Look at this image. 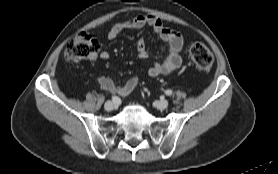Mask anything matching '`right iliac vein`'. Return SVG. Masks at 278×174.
Wrapping results in <instances>:
<instances>
[{
  "label": "right iliac vein",
  "instance_id": "63e3f726",
  "mask_svg": "<svg viewBox=\"0 0 278 174\" xmlns=\"http://www.w3.org/2000/svg\"><path fill=\"white\" fill-rule=\"evenodd\" d=\"M105 110L112 111L115 108V104L112 101H107L104 105Z\"/></svg>",
  "mask_w": 278,
  "mask_h": 174
}]
</instances>
